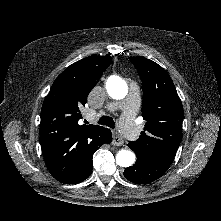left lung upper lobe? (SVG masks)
<instances>
[{"label": "left lung upper lobe", "instance_id": "5c2ea615", "mask_svg": "<svg viewBox=\"0 0 221 221\" xmlns=\"http://www.w3.org/2000/svg\"><path fill=\"white\" fill-rule=\"evenodd\" d=\"M143 87L142 115L146 121L137 141H130L137 159L173 160L182 138L183 106L168 73L144 57H131Z\"/></svg>", "mask_w": 221, "mask_h": 221}]
</instances>
